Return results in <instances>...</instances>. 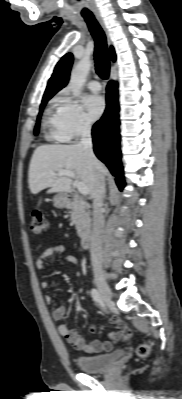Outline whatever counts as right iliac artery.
<instances>
[{
    "label": "right iliac artery",
    "instance_id": "right-iliac-artery-1",
    "mask_svg": "<svg viewBox=\"0 0 182 399\" xmlns=\"http://www.w3.org/2000/svg\"><path fill=\"white\" fill-rule=\"evenodd\" d=\"M91 297L93 298L94 302L99 303L101 300L100 294L97 289H91Z\"/></svg>",
    "mask_w": 182,
    "mask_h": 399
}]
</instances>
